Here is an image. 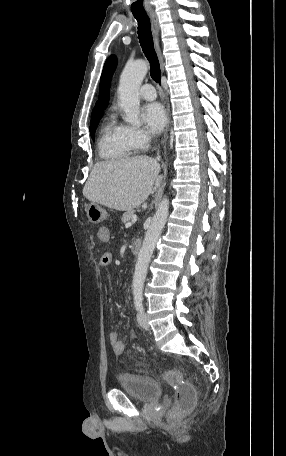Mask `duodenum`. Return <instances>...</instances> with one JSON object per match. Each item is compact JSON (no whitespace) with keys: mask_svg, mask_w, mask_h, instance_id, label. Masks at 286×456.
I'll return each mask as SVG.
<instances>
[{"mask_svg":"<svg viewBox=\"0 0 286 456\" xmlns=\"http://www.w3.org/2000/svg\"><path fill=\"white\" fill-rule=\"evenodd\" d=\"M141 249V241L140 240H135L131 244V251L134 254H138Z\"/></svg>","mask_w":286,"mask_h":456,"instance_id":"1","label":"duodenum"}]
</instances>
